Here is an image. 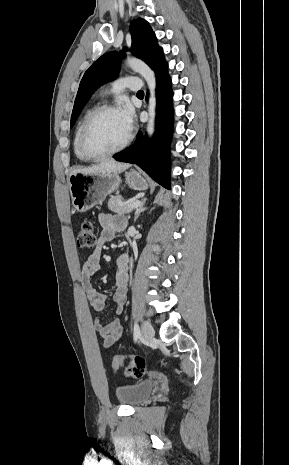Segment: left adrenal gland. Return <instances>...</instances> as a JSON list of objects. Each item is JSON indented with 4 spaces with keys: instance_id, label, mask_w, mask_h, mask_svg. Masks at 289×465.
<instances>
[{
    "instance_id": "obj_1",
    "label": "left adrenal gland",
    "mask_w": 289,
    "mask_h": 465,
    "mask_svg": "<svg viewBox=\"0 0 289 465\" xmlns=\"http://www.w3.org/2000/svg\"><path fill=\"white\" fill-rule=\"evenodd\" d=\"M146 201H147L146 198L142 199V202H141L140 206L136 209L135 216H134V222H136V220L139 217L140 213L147 209V207H145Z\"/></svg>"
}]
</instances>
